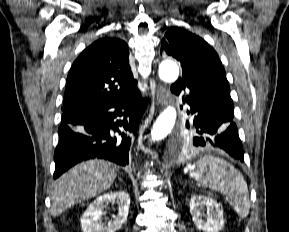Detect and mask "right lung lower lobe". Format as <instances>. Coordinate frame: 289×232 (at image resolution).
<instances>
[{
  "label": "right lung lower lobe",
  "mask_w": 289,
  "mask_h": 232,
  "mask_svg": "<svg viewBox=\"0 0 289 232\" xmlns=\"http://www.w3.org/2000/svg\"><path fill=\"white\" fill-rule=\"evenodd\" d=\"M143 108L136 88L115 101L64 113L54 154V179L91 158L107 159L122 166L128 164L131 138L137 132ZM118 116H123V120H115Z\"/></svg>",
  "instance_id": "98d812e1"
}]
</instances>
